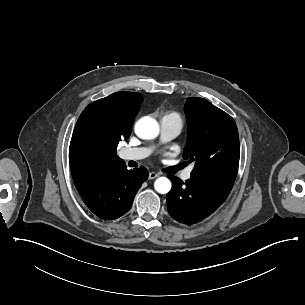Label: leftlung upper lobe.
I'll list each match as a JSON object with an SVG mask.
<instances>
[{
	"label": "left lung upper lobe",
	"mask_w": 305,
	"mask_h": 305,
	"mask_svg": "<svg viewBox=\"0 0 305 305\" xmlns=\"http://www.w3.org/2000/svg\"><path fill=\"white\" fill-rule=\"evenodd\" d=\"M188 137L183 157L195 161L191 179L232 189L238 172L240 145L233 118L203 98L185 105Z\"/></svg>",
	"instance_id": "5c2ea615"
}]
</instances>
